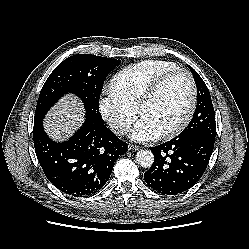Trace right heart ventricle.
<instances>
[{"mask_svg": "<svg viewBox=\"0 0 249 249\" xmlns=\"http://www.w3.org/2000/svg\"><path fill=\"white\" fill-rule=\"evenodd\" d=\"M176 67V63L166 60L140 61L117 72L111 80V90L136 109L151 83L164 72Z\"/></svg>", "mask_w": 249, "mask_h": 249, "instance_id": "e07e8e85", "label": "right heart ventricle"}]
</instances>
